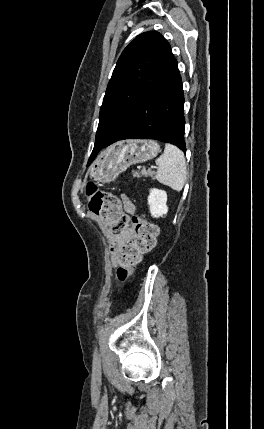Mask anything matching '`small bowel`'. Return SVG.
<instances>
[{
    "instance_id": "1",
    "label": "small bowel",
    "mask_w": 264,
    "mask_h": 429,
    "mask_svg": "<svg viewBox=\"0 0 264 429\" xmlns=\"http://www.w3.org/2000/svg\"><path fill=\"white\" fill-rule=\"evenodd\" d=\"M121 199H122V203L125 211L130 214H133L135 212V206L132 203V201L126 195H122ZM134 238H135V230L131 227H128L119 233L110 234L108 236L110 250L112 253L113 264H116L117 262V253L119 249L122 246L131 243L134 240Z\"/></svg>"
}]
</instances>
